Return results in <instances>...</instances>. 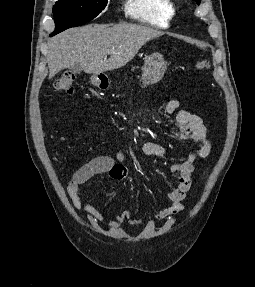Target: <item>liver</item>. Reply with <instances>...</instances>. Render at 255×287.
<instances>
[{"label":"liver","mask_w":255,"mask_h":287,"mask_svg":"<svg viewBox=\"0 0 255 287\" xmlns=\"http://www.w3.org/2000/svg\"><path fill=\"white\" fill-rule=\"evenodd\" d=\"M162 32L137 24H101L70 28L50 38L45 52L49 78L70 66H81L86 74H102L126 66L140 48ZM110 56L109 60H106Z\"/></svg>","instance_id":"6515ba94"}]
</instances>
